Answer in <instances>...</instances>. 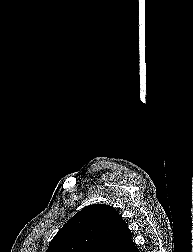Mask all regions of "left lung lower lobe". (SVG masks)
I'll use <instances>...</instances> for the list:
<instances>
[{
  "mask_svg": "<svg viewBox=\"0 0 193 252\" xmlns=\"http://www.w3.org/2000/svg\"><path fill=\"white\" fill-rule=\"evenodd\" d=\"M123 252H139L138 248L135 246L134 242L131 241L128 243L126 248L123 250Z\"/></svg>",
  "mask_w": 193,
  "mask_h": 252,
  "instance_id": "left-lung-lower-lobe-1",
  "label": "left lung lower lobe"
}]
</instances>
